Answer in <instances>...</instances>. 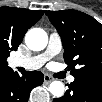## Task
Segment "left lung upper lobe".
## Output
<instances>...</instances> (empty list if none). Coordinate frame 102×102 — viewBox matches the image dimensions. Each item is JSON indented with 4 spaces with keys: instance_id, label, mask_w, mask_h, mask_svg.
<instances>
[{
    "instance_id": "1",
    "label": "left lung upper lobe",
    "mask_w": 102,
    "mask_h": 102,
    "mask_svg": "<svg viewBox=\"0 0 102 102\" xmlns=\"http://www.w3.org/2000/svg\"><path fill=\"white\" fill-rule=\"evenodd\" d=\"M59 31L65 49L64 60L75 80L102 82V25L77 11H45ZM80 67L79 69L75 68Z\"/></svg>"
}]
</instances>
